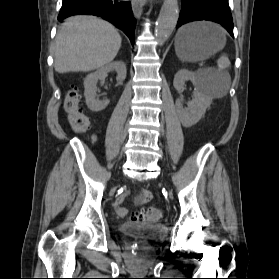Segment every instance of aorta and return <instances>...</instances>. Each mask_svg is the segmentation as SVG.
Listing matches in <instances>:
<instances>
[{"label": "aorta", "instance_id": "1", "mask_svg": "<svg viewBox=\"0 0 279 279\" xmlns=\"http://www.w3.org/2000/svg\"><path fill=\"white\" fill-rule=\"evenodd\" d=\"M178 17V0H164L155 26V36L159 43L162 44L168 40L176 27Z\"/></svg>", "mask_w": 279, "mask_h": 279}]
</instances>
